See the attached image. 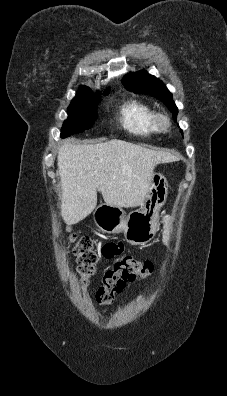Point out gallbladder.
<instances>
[{
    "mask_svg": "<svg viewBox=\"0 0 227 396\" xmlns=\"http://www.w3.org/2000/svg\"><path fill=\"white\" fill-rule=\"evenodd\" d=\"M67 230L69 231V230H70V227H67Z\"/></svg>",
    "mask_w": 227,
    "mask_h": 396,
    "instance_id": "1",
    "label": "gallbladder"
}]
</instances>
